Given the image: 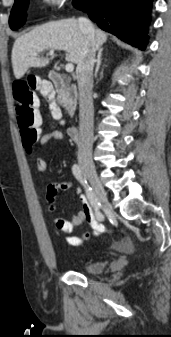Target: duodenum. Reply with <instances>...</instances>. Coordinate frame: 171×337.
I'll list each match as a JSON object with an SVG mask.
<instances>
[{"label": "duodenum", "mask_w": 171, "mask_h": 337, "mask_svg": "<svg viewBox=\"0 0 171 337\" xmlns=\"http://www.w3.org/2000/svg\"><path fill=\"white\" fill-rule=\"evenodd\" d=\"M48 76L56 90L61 91L66 87L68 82L66 76L54 71L50 72ZM68 134L74 141L81 140L80 130L76 125L68 127Z\"/></svg>", "instance_id": "1"}]
</instances>
